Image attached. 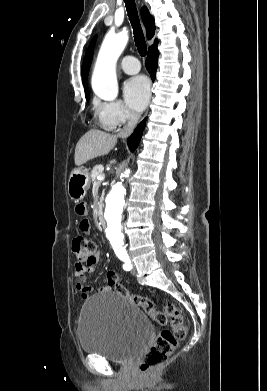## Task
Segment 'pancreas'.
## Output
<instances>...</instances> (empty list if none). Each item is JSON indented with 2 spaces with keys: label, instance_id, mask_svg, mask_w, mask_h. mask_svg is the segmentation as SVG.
<instances>
[{
  "label": "pancreas",
  "instance_id": "pancreas-1",
  "mask_svg": "<svg viewBox=\"0 0 267 391\" xmlns=\"http://www.w3.org/2000/svg\"><path fill=\"white\" fill-rule=\"evenodd\" d=\"M103 166L102 165H97V166H95L94 168H93V170L91 171V174H90V176H91V178H92V181L95 183V184H97V185H99L100 184V181L97 179V177L99 176V175H102L103 174Z\"/></svg>",
  "mask_w": 267,
  "mask_h": 391
}]
</instances>
